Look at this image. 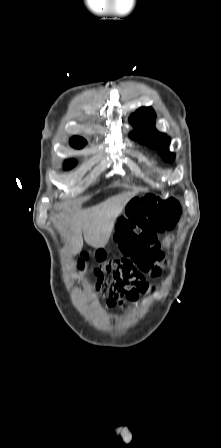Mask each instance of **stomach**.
<instances>
[{
  "label": "stomach",
  "instance_id": "stomach-1",
  "mask_svg": "<svg viewBox=\"0 0 221 448\" xmlns=\"http://www.w3.org/2000/svg\"><path fill=\"white\" fill-rule=\"evenodd\" d=\"M131 207V201H129L127 203V205L125 206V211L128 212L129 208Z\"/></svg>",
  "mask_w": 221,
  "mask_h": 448
}]
</instances>
